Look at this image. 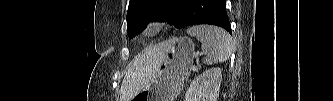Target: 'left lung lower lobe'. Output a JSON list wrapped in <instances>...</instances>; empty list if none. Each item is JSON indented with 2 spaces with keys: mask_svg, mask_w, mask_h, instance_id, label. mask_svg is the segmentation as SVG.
I'll list each match as a JSON object with an SVG mask.
<instances>
[{
  "mask_svg": "<svg viewBox=\"0 0 333 101\" xmlns=\"http://www.w3.org/2000/svg\"><path fill=\"white\" fill-rule=\"evenodd\" d=\"M184 10L182 22L177 24L180 29L196 24L217 25L231 34V27L226 12L225 0H182Z\"/></svg>",
  "mask_w": 333,
  "mask_h": 101,
  "instance_id": "obj_1",
  "label": "left lung lower lobe"
}]
</instances>
